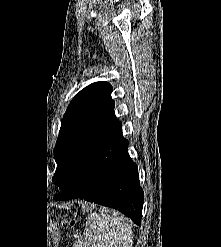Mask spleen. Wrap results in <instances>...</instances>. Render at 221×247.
I'll list each match as a JSON object with an SVG mask.
<instances>
[{
	"instance_id": "1",
	"label": "spleen",
	"mask_w": 221,
	"mask_h": 247,
	"mask_svg": "<svg viewBox=\"0 0 221 247\" xmlns=\"http://www.w3.org/2000/svg\"><path fill=\"white\" fill-rule=\"evenodd\" d=\"M84 237L78 247H132L133 232L123 216L97 214L89 216Z\"/></svg>"
}]
</instances>
